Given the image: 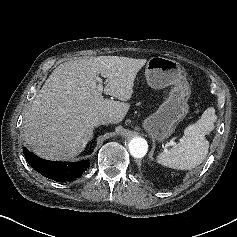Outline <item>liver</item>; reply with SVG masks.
<instances>
[{"label": "liver", "instance_id": "obj_1", "mask_svg": "<svg viewBox=\"0 0 237 237\" xmlns=\"http://www.w3.org/2000/svg\"><path fill=\"white\" fill-rule=\"evenodd\" d=\"M146 59L98 56L60 64L48 77L26 113L24 140L38 156L66 160L79 155L92 138L97 116L112 123L129 110L134 81ZM106 78L104 93L120 101L104 99L98 91V75Z\"/></svg>", "mask_w": 237, "mask_h": 237}]
</instances>
